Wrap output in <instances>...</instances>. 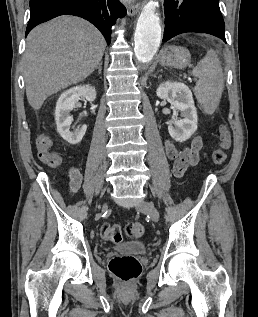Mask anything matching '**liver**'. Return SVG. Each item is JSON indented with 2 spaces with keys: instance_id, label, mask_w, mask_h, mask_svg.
<instances>
[{
  "instance_id": "liver-1",
  "label": "liver",
  "mask_w": 258,
  "mask_h": 317,
  "mask_svg": "<svg viewBox=\"0 0 258 317\" xmlns=\"http://www.w3.org/2000/svg\"><path fill=\"white\" fill-rule=\"evenodd\" d=\"M105 46L100 30L79 16H58L33 28L23 56L26 94L32 108L38 110L47 96L89 76Z\"/></svg>"
}]
</instances>
